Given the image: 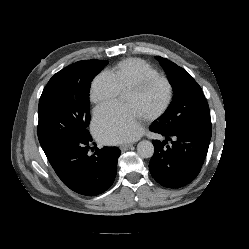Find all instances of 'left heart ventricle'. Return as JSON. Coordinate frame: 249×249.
<instances>
[{
    "label": "left heart ventricle",
    "mask_w": 249,
    "mask_h": 249,
    "mask_svg": "<svg viewBox=\"0 0 249 249\" xmlns=\"http://www.w3.org/2000/svg\"><path fill=\"white\" fill-rule=\"evenodd\" d=\"M167 98V87L164 82L157 81L139 93L126 92L123 97L125 105L132 107L141 119L159 110Z\"/></svg>",
    "instance_id": "1"
}]
</instances>
